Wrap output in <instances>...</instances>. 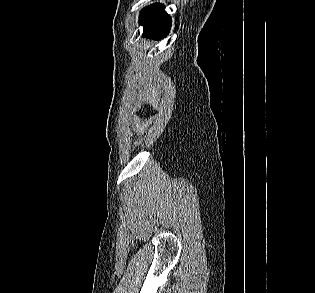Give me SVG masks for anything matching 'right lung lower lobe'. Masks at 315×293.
I'll return each instance as SVG.
<instances>
[{"label":"right lung lower lobe","instance_id":"right-lung-lower-lobe-1","mask_svg":"<svg viewBox=\"0 0 315 293\" xmlns=\"http://www.w3.org/2000/svg\"><path fill=\"white\" fill-rule=\"evenodd\" d=\"M139 23L144 25L146 35L161 39L169 33L171 19L164 11V6L153 4L143 9Z\"/></svg>","mask_w":315,"mask_h":293}]
</instances>
